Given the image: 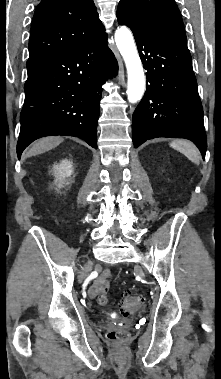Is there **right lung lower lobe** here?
Returning a JSON list of instances; mask_svg holds the SVG:
<instances>
[{"label":"right lung lower lobe","instance_id":"1","mask_svg":"<svg viewBox=\"0 0 221 379\" xmlns=\"http://www.w3.org/2000/svg\"><path fill=\"white\" fill-rule=\"evenodd\" d=\"M106 42L103 28L76 47L27 64L18 158L31 142L49 135L76 136L97 148L102 85L118 70Z\"/></svg>","mask_w":221,"mask_h":379}]
</instances>
